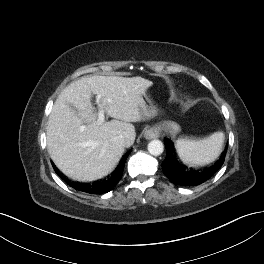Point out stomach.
<instances>
[{
    "instance_id": "stomach-1",
    "label": "stomach",
    "mask_w": 264,
    "mask_h": 264,
    "mask_svg": "<svg viewBox=\"0 0 264 264\" xmlns=\"http://www.w3.org/2000/svg\"><path fill=\"white\" fill-rule=\"evenodd\" d=\"M144 102L147 111H155L154 107L152 106L150 98L144 94ZM148 103V104H147ZM158 129L164 132H168L170 135L175 136L181 131V127L179 124L173 121H164L158 125Z\"/></svg>"
}]
</instances>
